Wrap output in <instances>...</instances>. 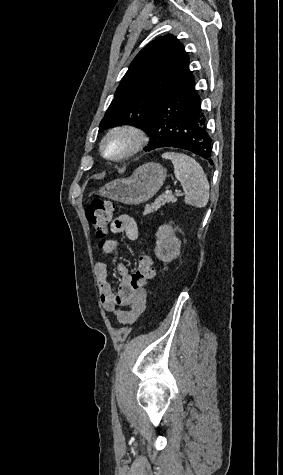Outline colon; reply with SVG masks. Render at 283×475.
I'll use <instances>...</instances> for the list:
<instances>
[{
	"instance_id": "5ec220e1",
	"label": "colon",
	"mask_w": 283,
	"mask_h": 475,
	"mask_svg": "<svg viewBox=\"0 0 283 475\" xmlns=\"http://www.w3.org/2000/svg\"><path fill=\"white\" fill-rule=\"evenodd\" d=\"M113 209L114 203L101 199L92 201L85 209L86 217L100 239V248L104 246V239L109 235ZM153 266L152 256L148 252L140 253L137 267L128 277L129 286L136 289L143 281L151 280L154 276Z\"/></svg>"
}]
</instances>
